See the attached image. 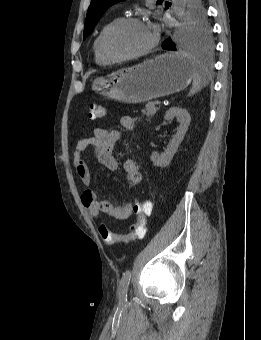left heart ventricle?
Returning a JSON list of instances; mask_svg holds the SVG:
<instances>
[{
  "mask_svg": "<svg viewBox=\"0 0 261 340\" xmlns=\"http://www.w3.org/2000/svg\"><path fill=\"white\" fill-rule=\"evenodd\" d=\"M151 40L148 28L142 24L129 23L118 28L109 38L108 47L117 55H129L145 48Z\"/></svg>",
  "mask_w": 261,
  "mask_h": 340,
  "instance_id": "b2bd125f",
  "label": "left heart ventricle"
}]
</instances>
